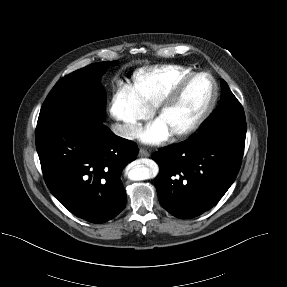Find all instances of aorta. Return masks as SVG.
<instances>
[{"label": "aorta", "instance_id": "762f6f07", "mask_svg": "<svg viewBox=\"0 0 287 287\" xmlns=\"http://www.w3.org/2000/svg\"><path fill=\"white\" fill-rule=\"evenodd\" d=\"M158 171V167L155 163H147V165H137L133 167L128 177L134 181L146 180L152 178Z\"/></svg>", "mask_w": 287, "mask_h": 287}]
</instances>
